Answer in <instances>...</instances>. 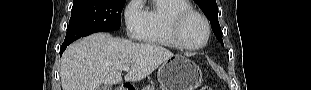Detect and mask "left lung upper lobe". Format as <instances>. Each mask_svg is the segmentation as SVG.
Masks as SVG:
<instances>
[{
  "mask_svg": "<svg viewBox=\"0 0 311 90\" xmlns=\"http://www.w3.org/2000/svg\"><path fill=\"white\" fill-rule=\"evenodd\" d=\"M204 14L210 20L212 30L219 42L223 45L222 32L218 22V6L216 0H195Z\"/></svg>",
  "mask_w": 311,
  "mask_h": 90,
  "instance_id": "1",
  "label": "left lung upper lobe"
}]
</instances>
